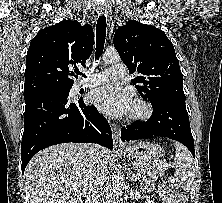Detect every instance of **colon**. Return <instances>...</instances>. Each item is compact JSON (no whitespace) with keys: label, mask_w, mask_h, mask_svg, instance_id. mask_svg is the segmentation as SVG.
<instances>
[{"label":"colon","mask_w":222,"mask_h":203,"mask_svg":"<svg viewBox=\"0 0 222 203\" xmlns=\"http://www.w3.org/2000/svg\"><path fill=\"white\" fill-rule=\"evenodd\" d=\"M168 184H169V186L172 189H176L177 188V183H176V181L173 178H169Z\"/></svg>","instance_id":"1"}]
</instances>
